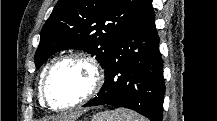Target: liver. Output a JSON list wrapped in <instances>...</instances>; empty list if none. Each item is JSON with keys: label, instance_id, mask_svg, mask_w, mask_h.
<instances>
[{"label": "liver", "instance_id": "liver-1", "mask_svg": "<svg viewBox=\"0 0 217 121\" xmlns=\"http://www.w3.org/2000/svg\"><path fill=\"white\" fill-rule=\"evenodd\" d=\"M60 120L65 119V117H59Z\"/></svg>", "mask_w": 217, "mask_h": 121}]
</instances>
